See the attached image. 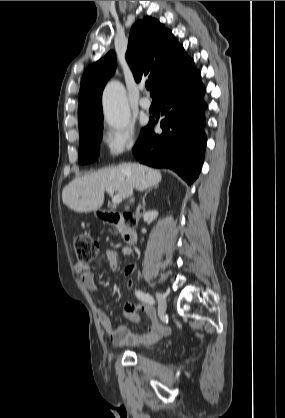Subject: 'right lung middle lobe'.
Masks as SVG:
<instances>
[{
	"mask_svg": "<svg viewBox=\"0 0 285 418\" xmlns=\"http://www.w3.org/2000/svg\"><path fill=\"white\" fill-rule=\"evenodd\" d=\"M103 117L79 125L78 163L87 164L96 160L102 139Z\"/></svg>",
	"mask_w": 285,
	"mask_h": 418,
	"instance_id": "right-lung-middle-lobe-1",
	"label": "right lung middle lobe"
}]
</instances>
